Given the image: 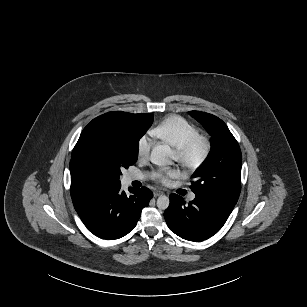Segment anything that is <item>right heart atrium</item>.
Listing matches in <instances>:
<instances>
[{
	"label": "right heart atrium",
	"mask_w": 307,
	"mask_h": 307,
	"mask_svg": "<svg viewBox=\"0 0 307 307\" xmlns=\"http://www.w3.org/2000/svg\"><path fill=\"white\" fill-rule=\"evenodd\" d=\"M155 142L150 136H143L137 145V157L139 160L148 158L151 150L154 148Z\"/></svg>",
	"instance_id": "d8ad5b80"
}]
</instances>
